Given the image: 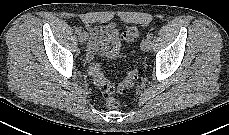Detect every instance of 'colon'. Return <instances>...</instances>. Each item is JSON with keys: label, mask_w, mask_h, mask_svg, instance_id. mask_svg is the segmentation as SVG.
I'll use <instances>...</instances> for the list:
<instances>
[{"label": "colon", "mask_w": 229, "mask_h": 135, "mask_svg": "<svg viewBox=\"0 0 229 135\" xmlns=\"http://www.w3.org/2000/svg\"><path fill=\"white\" fill-rule=\"evenodd\" d=\"M138 36V29L136 27H128L122 33L123 40L130 44L133 43ZM93 53L90 52V58H92ZM88 71L93 78L97 87L105 94L112 96L117 93H122L128 86L132 85L137 79V71L132 69L127 77L119 83L110 82L104 75L101 66L94 61H91L88 66ZM107 106L109 108H117L119 102L114 97H109L107 99Z\"/></svg>", "instance_id": "1"}]
</instances>
